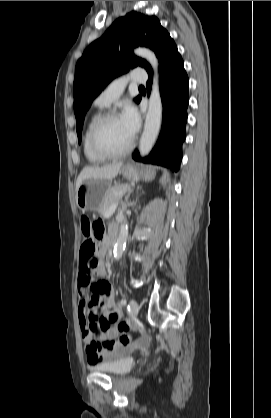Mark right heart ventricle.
I'll use <instances>...</instances> for the list:
<instances>
[{"mask_svg":"<svg viewBox=\"0 0 271 418\" xmlns=\"http://www.w3.org/2000/svg\"><path fill=\"white\" fill-rule=\"evenodd\" d=\"M101 113L100 110L96 111L88 120L86 127L84 129V134H83V151H84V155L87 158V160L90 163L93 164H98V163H102L105 161V158L97 155L91 148L90 146V142H89V136H90V132L91 129L94 125V123L97 121V119L100 117Z\"/></svg>","mask_w":271,"mask_h":418,"instance_id":"obj_1","label":"right heart ventricle"}]
</instances>
